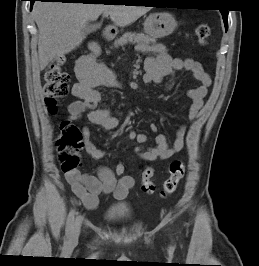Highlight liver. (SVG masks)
Returning a JSON list of instances; mask_svg holds the SVG:
<instances>
[{
	"label": "liver",
	"mask_w": 259,
	"mask_h": 266,
	"mask_svg": "<svg viewBox=\"0 0 259 266\" xmlns=\"http://www.w3.org/2000/svg\"><path fill=\"white\" fill-rule=\"evenodd\" d=\"M149 11L145 6L36 2L33 14L39 31L40 69L79 46L86 37L83 29L102 13L108 12L116 26L125 27Z\"/></svg>",
	"instance_id": "6515ba94"
}]
</instances>
